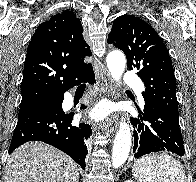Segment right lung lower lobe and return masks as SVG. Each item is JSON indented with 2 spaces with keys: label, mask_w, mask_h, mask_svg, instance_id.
<instances>
[{
  "label": "right lung lower lobe",
  "mask_w": 196,
  "mask_h": 182,
  "mask_svg": "<svg viewBox=\"0 0 196 182\" xmlns=\"http://www.w3.org/2000/svg\"><path fill=\"white\" fill-rule=\"evenodd\" d=\"M81 81L90 84L95 82L92 68L81 75L66 91ZM64 93L58 97V101L51 107L19 116L9 147V154L26 142L43 141L65 152L82 169H85V157L88 154L85 141L92 133L91 127L86 123H80L76 126L71 124L73 114H65L62 110ZM85 108V105H81V109Z\"/></svg>",
  "instance_id": "98d812e1"
}]
</instances>
